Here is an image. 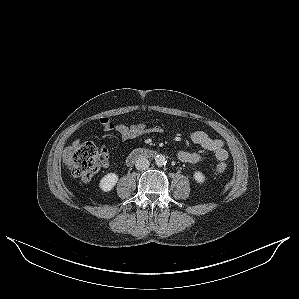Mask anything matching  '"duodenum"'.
Masks as SVG:
<instances>
[{
    "label": "duodenum",
    "instance_id": "duodenum-1",
    "mask_svg": "<svg viewBox=\"0 0 299 299\" xmlns=\"http://www.w3.org/2000/svg\"><path fill=\"white\" fill-rule=\"evenodd\" d=\"M156 153L152 150L149 149H137L130 153V155L127 158V165L132 166L137 160L142 159V158H151L155 155Z\"/></svg>",
    "mask_w": 299,
    "mask_h": 299
}]
</instances>
